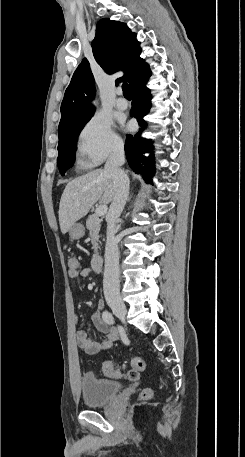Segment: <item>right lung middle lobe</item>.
<instances>
[{
  "mask_svg": "<svg viewBox=\"0 0 245 457\" xmlns=\"http://www.w3.org/2000/svg\"><path fill=\"white\" fill-rule=\"evenodd\" d=\"M91 117L65 124L59 128L57 164L62 175L73 166L78 135Z\"/></svg>",
  "mask_w": 245,
  "mask_h": 457,
  "instance_id": "right-lung-middle-lobe-1",
  "label": "right lung middle lobe"
}]
</instances>
